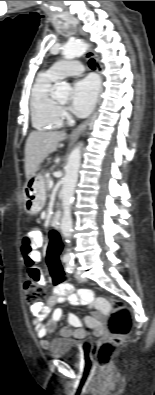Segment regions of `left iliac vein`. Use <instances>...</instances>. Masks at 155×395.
Segmentation results:
<instances>
[{
    "label": "left iliac vein",
    "mask_w": 155,
    "mask_h": 395,
    "mask_svg": "<svg viewBox=\"0 0 155 395\" xmlns=\"http://www.w3.org/2000/svg\"><path fill=\"white\" fill-rule=\"evenodd\" d=\"M75 278L79 281V282H83L84 279L77 273L75 272Z\"/></svg>",
    "instance_id": "obj_1"
}]
</instances>
